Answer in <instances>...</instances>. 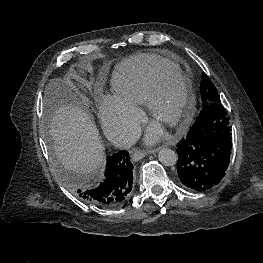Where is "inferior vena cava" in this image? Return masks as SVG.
Returning a JSON list of instances; mask_svg holds the SVG:
<instances>
[{
  "label": "inferior vena cava",
  "instance_id": "obj_1",
  "mask_svg": "<svg viewBox=\"0 0 263 263\" xmlns=\"http://www.w3.org/2000/svg\"><path fill=\"white\" fill-rule=\"evenodd\" d=\"M136 136L125 124H116L111 128V141L119 148L128 149L136 143Z\"/></svg>",
  "mask_w": 263,
  "mask_h": 263
}]
</instances>
